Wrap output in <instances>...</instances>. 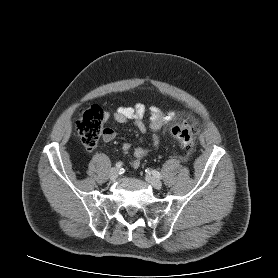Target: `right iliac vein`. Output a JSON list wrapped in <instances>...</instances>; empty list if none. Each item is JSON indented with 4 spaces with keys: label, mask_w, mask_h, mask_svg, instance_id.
<instances>
[{
    "label": "right iliac vein",
    "mask_w": 278,
    "mask_h": 278,
    "mask_svg": "<svg viewBox=\"0 0 278 278\" xmlns=\"http://www.w3.org/2000/svg\"><path fill=\"white\" fill-rule=\"evenodd\" d=\"M118 175H119V170H118V168H112L111 170H110V178L112 179V180H115L117 177H118Z\"/></svg>",
    "instance_id": "right-iliac-vein-1"
}]
</instances>
